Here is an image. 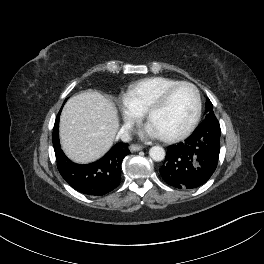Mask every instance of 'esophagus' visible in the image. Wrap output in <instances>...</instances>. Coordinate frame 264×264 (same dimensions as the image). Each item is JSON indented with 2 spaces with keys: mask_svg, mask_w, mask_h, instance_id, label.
Segmentation results:
<instances>
[{
  "mask_svg": "<svg viewBox=\"0 0 264 264\" xmlns=\"http://www.w3.org/2000/svg\"><path fill=\"white\" fill-rule=\"evenodd\" d=\"M142 149H143V146H141V145L132 144L130 146V151L131 152L141 151Z\"/></svg>",
  "mask_w": 264,
  "mask_h": 264,
  "instance_id": "1",
  "label": "esophagus"
}]
</instances>
